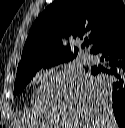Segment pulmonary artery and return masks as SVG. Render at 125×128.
Segmentation results:
<instances>
[{
    "instance_id": "e3ab8cb5",
    "label": "pulmonary artery",
    "mask_w": 125,
    "mask_h": 128,
    "mask_svg": "<svg viewBox=\"0 0 125 128\" xmlns=\"http://www.w3.org/2000/svg\"><path fill=\"white\" fill-rule=\"evenodd\" d=\"M81 61L83 63H91L93 61V58L88 54H82Z\"/></svg>"
}]
</instances>
